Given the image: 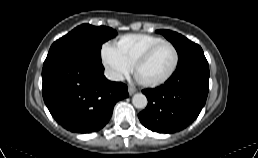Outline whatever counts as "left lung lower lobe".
Instances as JSON below:
<instances>
[{
  "label": "left lung lower lobe",
  "instance_id": "0a47b994",
  "mask_svg": "<svg viewBox=\"0 0 258 158\" xmlns=\"http://www.w3.org/2000/svg\"><path fill=\"white\" fill-rule=\"evenodd\" d=\"M209 65L202 48L192 50L167 82L143 90L147 107L138 114L140 122L158 133H173L193 122L206 103Z\"/></svg>",
  "mask_w": 258,
  "mask_h": 158
}]
</instances>
